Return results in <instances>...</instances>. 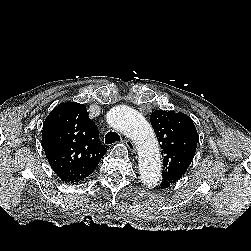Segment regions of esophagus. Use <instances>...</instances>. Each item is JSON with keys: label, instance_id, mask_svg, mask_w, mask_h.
<instances>
[{"label": "esophagus", "instance_id": "obj_1", "mask_svg": "<svg viewBox=\"0 0 251 251\" xmlns=\"http://www.w3.org/2000/svg\"><path fill=\"white\" fill-rule=\"evenodd\" d=\"M122 141H123V143L126 144L127 148L131 152V154H135L136 153L135 145L133 144V142L130 139L123 138Z\"/></svg>", "mask_w": 251, "mask_h": 251}]
</instances>
